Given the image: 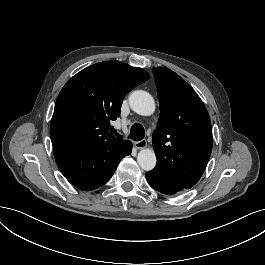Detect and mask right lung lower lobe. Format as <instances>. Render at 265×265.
<instances>
[{
    "instance_id": "right-lung-lower-lobe-1",
    "label": "right lung lower lobe",
    "mask_w": 265,
    "mask_h": 265,
    "mask_svg": "<svg viewBox=\"0 0 265 265\" xmlns=\"http://www.w3.org/2000/svg\"><path fill=\"white\" fill-rule=\"evenodd\" d=\"M128 140L98 147L54 146L56 163L64 177L80 190H94L110 180L121 159L131 154Z\"/></svg>"
}]
</instances>
